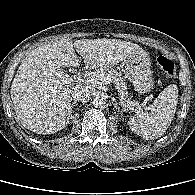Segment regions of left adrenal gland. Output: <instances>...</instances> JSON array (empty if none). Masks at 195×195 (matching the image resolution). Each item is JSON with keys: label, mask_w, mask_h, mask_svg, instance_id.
I'll return each instance as SVG.
<instances>
[{"label": "left adrenal gland", "mask_w": 195, "mask_h": 195, "mask_svg": "<svg viewBox=\"0 0 195 195\" xmlns=\"http://www.w3.org/2000/svg\"><path fill=\"white\" fill-rule=\"evenodd\" d=\"M113 105H114V109H115V111H117L118 110V112L120 111V107L118 106V103L115 101V100H113Z\"/></svg>", "instance_id": "a2214340"}]
</instances>
